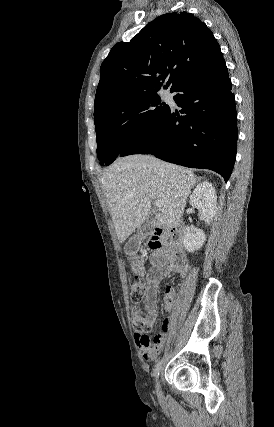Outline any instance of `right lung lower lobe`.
<instances>
[{
    "label": "right lung lower lobe",
    "mask_w": 274,
    "mask_h": 427,
    "mask_svg": "<svg viewBox=\"0 0 274 427\" xmlns=\"http://www.w3.org/2000/svg\"><path fill=\"white\" fill-rule=\"evenodd\" d=\"M226 65L186 81L173 92L179 115L169 107L144 137L119 155L153 154L162 160L206 168L227 181L237 142V112Z\"/></svg>",
    "instance_id": "98d812e1"
}]
</instances>
